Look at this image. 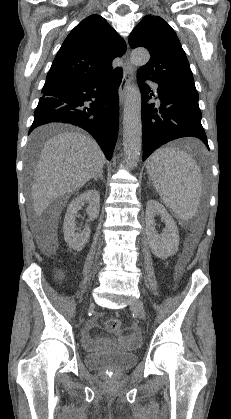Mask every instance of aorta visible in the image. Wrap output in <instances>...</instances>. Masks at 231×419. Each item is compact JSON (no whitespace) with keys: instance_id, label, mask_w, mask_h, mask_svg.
<instances>
[{"instance_id":"obj_1","label":"aorta","mask_w":231,"mask_h":419,"mask_svg":"<svg viewBox=\"0 0 231 419\" xmlns=\"http://www.w3.org/2000/svg\"><path fill=\"white\" fill-rule=\"evenodd\" d=\"M150 59L146 49L132 51L130 60L135 66L145 65ZM123 147L127 166H137L142 149L141 92L131 85L126 93L123 111Z\"/></svg>"}]
</instances>
